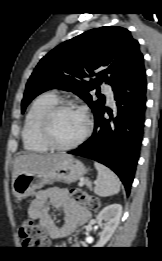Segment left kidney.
Here are the masks:
<instances>
[{
    "mask_svg": "<svg viewBox=\"0 0 162 261\" xmlns=\"http://www.w3.org/2000/svg\"><path fill=\"white\" fill-rule=\"evenodd\" d=\"M122 214V206L120 204H111L106 206L97 215L96 220L102 228L100 239L96 243V247H103L115 232Z\"/></svg>",
    "mask_w": 162,
    "mask_h": 261,
    "instance_id": "5707ae66",
    "label": "left kidney"
}]
</instances>
